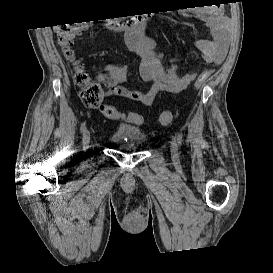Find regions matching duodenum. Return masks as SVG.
<instances>
[{
    "label": "duodenum",
    "instance_id": "duodenum-1",
    "mask_svg": "<svg viewBox=\"0 0 273 273\" xmlns=\"http://www.w3.org/2000/svg\"><path fill=\"white\" fill-rule=\"evenodd\" d=\"M149 18L146 15H135L125 18H115L109 21V26L113 30L121 31L127 34L131 30H140L143 27L147 26Z\"/></svg>",
    "mask_w": 273,
    "mask_h": 273
}]
</instances>
